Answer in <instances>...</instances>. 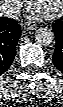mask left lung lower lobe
Segmentation results:
<instances>
[{"instance_id": "1", "label": "left lung lower lobe", "mask_w": 63, "mask_h": 107, "mask_svg": "<svg viewBox=\"0 0 63 107\" xmlns=\"http://www.w3.org/2000/svg\"><path fill=\"white\" fill-rule=\"evenodd\" d=\"M56 36V48L52 56L55 67L63 73V18L52 25Z\"/></svg>"}]
</instances>
